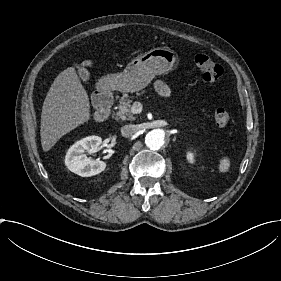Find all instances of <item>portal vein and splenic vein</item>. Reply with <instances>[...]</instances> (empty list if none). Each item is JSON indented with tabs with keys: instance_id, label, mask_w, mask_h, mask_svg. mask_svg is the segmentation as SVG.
<instances>
[{
	"instance_id": "obj_1",
	"label": "portal vein and splenic vein",
	"mask_w": 281,
	"mask_h": 281,
	"mask_svg": "<svg viewBox=\"0 0 281 281\" xmlns=\"http://www.w3.org/2000/svg\"><path fill=\"white\" fill-rule=\"evenodd\" d=\"M141 111H142V105L139 104V105L137 106V102H135V103L132 105V107H131V112H132L133 114H138V113H141Z\"/></svg>"
}]
</instances>
